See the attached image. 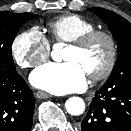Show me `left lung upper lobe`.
Wrapping results in <instances>:
<instances>
[{"instance_id": "obj_1", "label": "left lung upper lobe", "mask_w": 131, "mask_h": 131, "mask_svg": "<svg viewBox=\"0 0 131 131\" xmlns=\"http://www.w3.org/2000/svg\"><path fill=\"white\" fill-rule=\"evenodd\" d=\"M107 24L118 45V59L105 84L131 85V23L104 8H89Z\"/></svg>"}]
</instances>
